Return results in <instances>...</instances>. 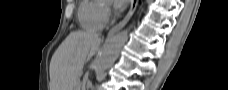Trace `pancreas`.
I'll return each mask as SVG.
<instances>
[{"instance_id": "1", "label": "pancreas", "mask_w": 228, "mask_h": 90, "mask_svg": "<svg viewBox=\"0 0 228 90\" xmlns=\"http://www.w3.org/2000/svg\"><path fill=\"white\" fill-rule=\"evenodd\" d=\"M79 85H80V82H79V80H78V82H77V87H79Z\"/></svg>"}]
</instances>
